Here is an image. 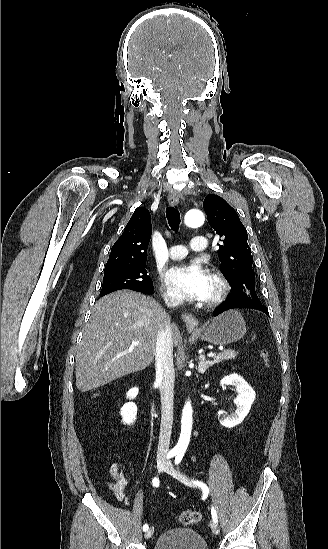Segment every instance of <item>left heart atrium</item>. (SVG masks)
Returning a JSON list of instances; mask_svg holds the SVG:
<instances>
[{
	"label": "left heart atrium",
	"instance_id": "left-heart-atrium-1",
	"mask_svg": "<svg viewBox=\"0 0 328 549\" xmlns=\"http://www.w3.org/2000/svg\"><path fill=\"white\" fill-rule=\"evenodd\" d=\"M212 276L198 263L173 269L168 284L175 295L183 300H205L210 290Z\"/></svg>",
	"mask_w": 328,
	"mask_h": 549
}]
</instances>
